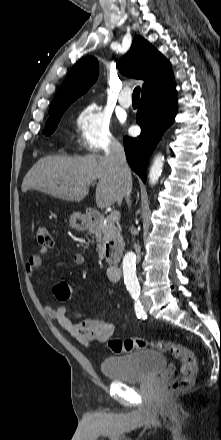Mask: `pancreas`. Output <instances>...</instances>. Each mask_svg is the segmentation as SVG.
<instances>
[{
	"instance_id": "cf45deb5",
	"label": "pancreas",
	"mask_w": 221,
	"mask_h": 440,
	"mask_svg": "<svg viewBox=\"0 0 221 440\" xmlns=\"http://www.w3.org/2000/svg\"><path fill=\"white\" fill-rule=\"evenodd\" d=\"M94 233L96 235L97 241L100 243L99 244L100 254L103 253L105 244L109 243L110 241H113L116 244L118 243L117 259L119 260L123 250V245H122L123 239L115 223L111 221L108 217L106 219V224L101 223L100 226L96 230H94Z\"/></svg>"
}]
</instances>
